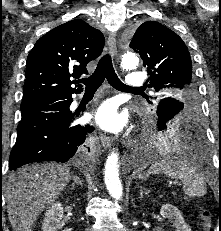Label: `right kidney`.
<instances>
[{
	"label": "right kidney",
	"mask_w": 221,
	"mask_h": 231,
	"mask_svg": "<svg viewBox=\"0 0 221 231\" xmlns=\"http://www.w3.org/2000/svg\"><path fill=\"white\" fill-rule=\"evenodd\" d=\"M63 207L60 202L53 203L45 213L42 231H58L62 229ZM68 231V230H62Z\"/></svg>",
	"instance_id": "right-kidney-1"
}]
</instances>
